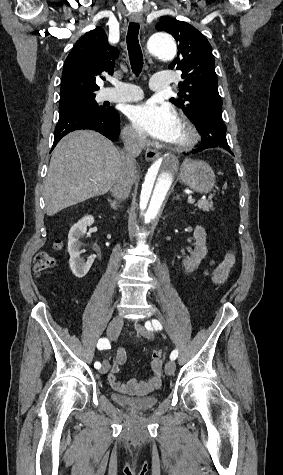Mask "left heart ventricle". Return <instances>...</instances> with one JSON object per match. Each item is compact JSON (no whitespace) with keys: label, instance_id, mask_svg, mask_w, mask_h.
Wrapping results in <instances>:
<instances>
[{"label":"left heart ventricle","instance_id":"obj_1","mask_svg":"<svg viewBox=\"0 0 283 475\" xmlns=\"http://www.w3.org/2000/svg\"><path fill=\"white\" fill-rule=\"evenodd\" d=\"M182 136H183V129H182V126H181V123H180L179 129H178V136H177L176 140L173 143L174 144L178 143L181 140Z\"/></svg>","mask_w":283,"mask_h":475}]
</instances>
